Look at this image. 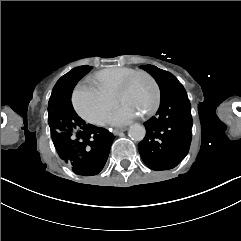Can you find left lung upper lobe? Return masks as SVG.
Returning a JSON list of instances; mask_svg holds the SVG:
<instances>
[{
    "mask_svg": "<svg viewBox=\"0 0 241 241\" xmlns=\"http://www.w3.org/2000/svg\"><path fill=\"white\" fill-rule=\"evenodd\" d=\"M140 68L148 71L155 78L160 87L161 97L172 90L184 88L177 78L167 71L153 65H142Z\"/></svg>",
    "mask_w": 241,
    "mask_h": 241,
    "instance_id": "1",
    "label": "left lung upper lobe"
}]
</instances>
